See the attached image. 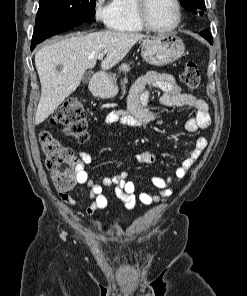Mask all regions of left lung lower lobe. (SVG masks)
<instances>
[{
  "label": "left lung lower lobe",
  "mask_w": 247,
  "mask_h": 296,
  "mask_svg": "<svg viewBox=\"0 0 247 296\" xmlns=\"http://www.w3.org/2000/svg\"><path fill=\"white\" fill-rule=\"evenodd\" d=\"M200 35L203 36L206 40H208L210 44L213 43L212 35L210 34L209 31L205 30L201 32Z\"/></svg>",
  "instance_id": "left-lung-lower-lobe-1"
}]
</instances>
